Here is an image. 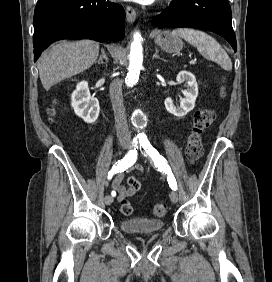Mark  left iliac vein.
<instances>
[{"label":"left iliac vein","mask_w":272,"mask_h":282,"mask_svg":"<svg viewBox=\"0 0 272 282\" xmlns=\"http://www.w3.org/2000/svg\"><path fill=\"white\" fill-rule=\"evenodd\" d=\"M170 199L173 203H177L178 202V194L175 191H171L170 193Z\"/></svg>","instance_id":"obj_1"}]
</instances>
